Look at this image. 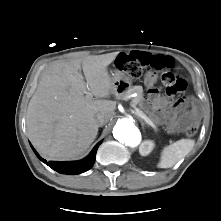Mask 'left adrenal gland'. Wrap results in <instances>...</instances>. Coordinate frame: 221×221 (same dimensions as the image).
<instances>
[{
	"label": "left adrenal gland",
	"mask_w": 221,
	"mask_h": 221,
	"mask_svg": "<svg viewBox=\"0 0 221 221\" xmlns=\"http://www.w3.org/2000/svg\"><path fill=\"white\" fill-rule=\"evenodd\" d=\"M139 121L141 122L142 126H145V123L143 122V120L139 119Z\"/></svg>",
	"instance_id": "obj_1"
}]
</instances>
